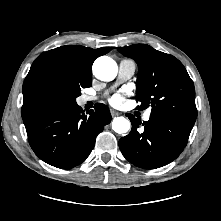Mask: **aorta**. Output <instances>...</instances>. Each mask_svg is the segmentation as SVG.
Here are the masks:
<instances>
[{
	"mask_svg": "<svg viewBox=\"0 0 221 221\" xmlns=\"http://www.w3.org/2000/svg\"><path fill=\"white\" fill-rule=\"evenodd\" d=\"M116 62L107 56L99 57L93 64L94 75L102 81H112L117 75ZM112 129L119 134H124L130 129V122L125 117H116L112 121Z\"/></svg>",
	"mask_w": 221,
	"mask_h": 221,
	"instance_id": "762f6f07",
	"label": "aorta"
}]
</instances>
